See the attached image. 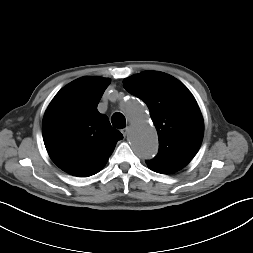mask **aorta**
<instances>
[{
  "label": "aorta",
  "mask_w": 253,
  "mask_h": 253,
  "mask_svg": "<svg viewBox=\"0 0 253 253\" xmlns=\"http://www.w3.org/2000/svg\"><path fill=\"white\" fill-rule=\"evenodd\" d=\"M123 110L131 121L130 142L138 156L153 158L158 151V139L155 128L148 121V113L135 99L123 104Z\"/></svg>",
  "instance_id": "obj_1"
}]
</instances>
